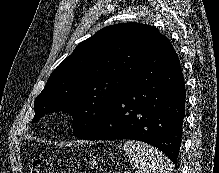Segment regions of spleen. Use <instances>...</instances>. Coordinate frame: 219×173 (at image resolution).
<instances>
[{
	"label": "spleen",
	"instance_id": "3e777b00",
	"mask_svg": "<svg viewBox=\"0 0 219 173\" xmlns=\"http://www.w3.org/2000/svg\"><path fill=\"white\" fill-rule=\"evenodd\" d=\"M124 150L139 173H173L174 165L159 150L140 141L127 140Z\"/></svg>",
	"mask_w": 219,
	"mask_h": 173
}]
</instances>
